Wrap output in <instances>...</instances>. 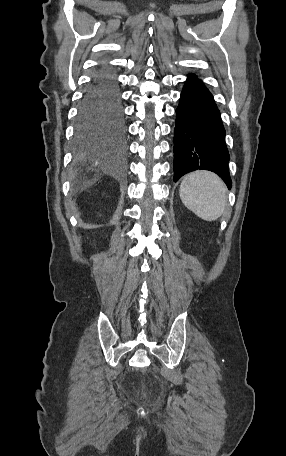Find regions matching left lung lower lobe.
I'll list each match as a JSON object with an SVG mask.
<instances>
[{
    "instance_id": "1",
    "label": "left lung lower lobe",
    "mask_w": 286,
    "mask_h": 456,
    "mask_svg": "<svg viewBox=\"0 0 286 456\" xmlns=\"http://www.w3.org/2000/svg\"><path fill=\"white\" fill-rule=\"evenodd\" d=\"M225 129L212 94L194 74L188 75L176 109L174 182L191 171L218 174L230 189Z\"/></svg>"
}]
</instances>
